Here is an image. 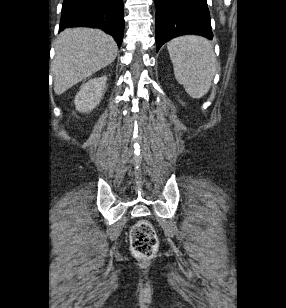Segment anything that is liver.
<instances>
[{
  "label": "liver",
  "instance_id": "1",
  "mask_svg": "<svg viewBox=\"0 0 286 308\" xmlns=\"http://www.w3.org/2000/svg\"><path fill=\"white\" fill-rule=\"evenodd\" d=\"M55 50L52 64L54 92L61 95L111 64L118 47L114 39L101 30L72 28L59 34Z\"/></svg>",
  "mask_w": 286,
  "mask_h": 308
}]
</instances>
